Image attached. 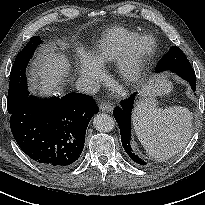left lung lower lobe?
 <instances>
[{
  "instance_id": "obj_1",
  "label": "left lung lower lobe",
  "mask_w": 205,
  "mask_h": 205,
  "mask_svg": "<svg viewBox=\"0 0 205 205\" xmlns=\"http://www.w3.org/2000/svg\"><path fill=\"white\" fill-rule=\"evenodd\" d=\"M172 72L178 74L181 78L188 81L191 85L193 92L196 91V75L192 67L171 69ZM136 97V93L132 94L128 99L123 100L120 106L116 107L113 111L116 122L120 128L121 141L126 153L130 158L140 164L146 165L141 158H139L131 149V111L133 108V102Z\"/></svg>"
}]
</instances>
